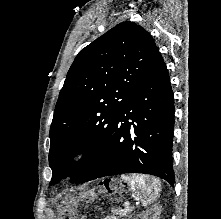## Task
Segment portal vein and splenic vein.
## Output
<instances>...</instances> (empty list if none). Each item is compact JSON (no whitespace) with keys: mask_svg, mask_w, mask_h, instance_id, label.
<instances>
[{"mask_svg":"<svg viewBox=\"0 0 221 219\" xmlns=\"http://www.w3.org/2000/svg\"><path fill=\"white\" fill-rule=\"evenodd\" d=\"M124 206H125V207H129V206H130V203H129V202H125V203H124Z\"/></svg>","mask_w":221,"mask_h":219,"instance_id":"obj_1","label":"portal vein and splenic vein"}]
</instances>
